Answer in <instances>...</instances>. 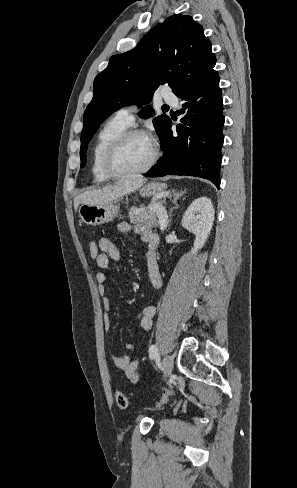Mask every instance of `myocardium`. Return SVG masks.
Here are the masks:
<instances>
[{
	"label": "myocardium",
	"mask_w": 297,
	"mask_h": 488,
	"mask_svg": "<svg viewBox=\"0 0 297 488\" xmlns=\"http://www.w3.org/2000/svg\"><path fill=\"white\" fill-rule=\"evenodd\" d=\"M135 136H145L148 137L147 133L140 129H127L123 133H121L117 138H115L111 144L108 146L104 158H103V168L106 174L114 179H121V178H129L139 174H143L148 172L157 162L159 158V149L155 143H153V153L152 157L149 162L140 169L129 171V172H120L117 171L114 167V159L121 149V147L132 137Z\"/></svg>",
	"instance_id": "1"
}]
</instances>
